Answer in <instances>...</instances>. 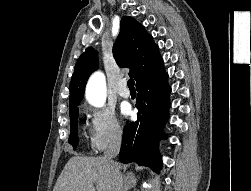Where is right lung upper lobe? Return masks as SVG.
I'll list each match as a JSON object with an SVG mask.
<instances>
[{"label":"right lung upper lobe","mask_w":251,"mask_h":191,"mask_svg":"<svg viewBox=\"0 0 251 191\" xmlns=\"http://www.w3.org/2000/svg\"><path fill=\"white\" fill-rule=\"evenodd\" d=\"M113 55L120 67H129L136 87L165 74L158 46L144 27L134 18L121 19L120 33L113 46ZM98 68L97 52L88 48L77 60L70 84L69 107L78 106L83 99L86 82Z\"/></svg>","instance_id":"1"}]
</instances>
